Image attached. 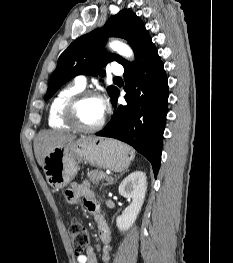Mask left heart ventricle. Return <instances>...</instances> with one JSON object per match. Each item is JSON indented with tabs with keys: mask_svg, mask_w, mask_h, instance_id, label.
<instances>
[{
	"mask_svg": "<svg viewBox=\"0 0 233 263\" xmlns=\"http://www.w3.org/2000/svg\"><path fill=\"white\" fill-rule=\"evenodd\" d=\"M77 116L83 126H95L103 116L101 100L96 98L84 100L77 109Z\"/></svg>",
	"mask_w": 233,
	"mask_h": 263,
	"instance_id": "1",
	"label": "left heart ventricle"
}]
</instances>
